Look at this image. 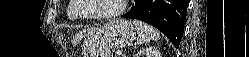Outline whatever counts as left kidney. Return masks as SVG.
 <instances>
[{
  "instance_id": "obj_1",
  "label": "left kidney",
  "mask_w": 249,
  "mask_h": 57,
  "mask_svg": "<svg viewBox=\"0 0 249 57\" xmlns=\"http://www.w3.org/2000/svg\"><path fill=\"white\" fill-rule=\"evenodd\" d=\"M133 57H161V53L155 47H146L139 50Z\"/></svg>"
}]
</instances>
